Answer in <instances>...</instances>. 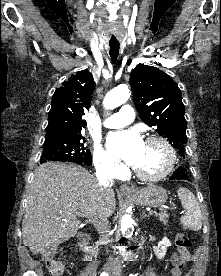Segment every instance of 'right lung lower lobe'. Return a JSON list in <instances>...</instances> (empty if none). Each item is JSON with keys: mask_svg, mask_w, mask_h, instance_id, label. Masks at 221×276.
Masks as SVG:
<instances>
[{"mask_svg": "<svg viewBox=\"0 0 221 276\" xmlns=\"http://www.w3.org/2000/svg\"><path fill=\"white\" fill-rule=\"evenodd\" d=\"M78 164H80V165H82V166H83V165H90V164H86V163H78Z\"/></svg>", "mask_w": 221, "mask_h": 276, "instance_id": "obj_1", "label": "right lung lower lobe"}]
</instances>
